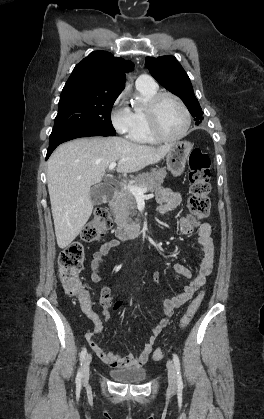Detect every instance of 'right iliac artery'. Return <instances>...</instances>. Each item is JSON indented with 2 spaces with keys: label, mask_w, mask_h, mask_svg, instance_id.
Returning a JSON list of instances; mask_svg holds the SVG:
<instances>
[{
  "label": "right iliac artery",
  "mask_w": 264,
  "mask_h": 419,
  "mask_svg": "<svg viewBox=\"0 0 264 419\" xmlns=\"http://www.w3.org/2000/svg\"><path fill=\"white\" fill-rule=\"evenodd\" d=\"M86 352H87L86 348H83L82 351H81V353H80L81 365H82V361L85 358ZM81 379H82V372H81V370H79L78 373H77V376H76V384L77 385H80L81 384Z\"/></svg>",
  "instance_id": "1"
}]
</instances>
